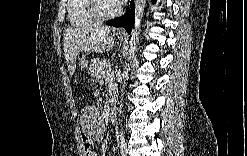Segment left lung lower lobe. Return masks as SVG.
Segmentation results:
<instances>
[{"label":"left lung lower lobe","instance_id":"0a47b994","mask_svg":"<svg viewBox=\"0 0 247 156\" xmlns=\"http://www.w3.org/2000/svg\"><path fill=\"white\" fill-rule=\"evenodd\" d=\"M131 9L127 11V13L117 19L106 22L107 25L114 27H124L128 33L131 32L133 23L135 21L134 17V1L130 2Z\"/></svg>","mask_w":247,"mask_h":156}]
</instances>
